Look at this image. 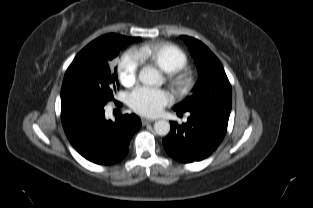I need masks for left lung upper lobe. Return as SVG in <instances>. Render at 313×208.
Here are the masks:
<instances>
[{"mask_svg": "<svg viewBox=\"0 0 313 208\" xmlns=\"http://www.w3.org/2000/svg\"><path fill=\"white\" fill-rule=\"evenodd\" d=\"M195 60L199 79L192 95L174 107L181 112L203 108L231 111L232 89L219 59L201 41L181 36Z\"/></svg>", "mask_w": 313, "mask_h": 208, "instance_id": "left-lung-upper-lobe-1", "label": "left lung upper lobe"}]
</instances>
